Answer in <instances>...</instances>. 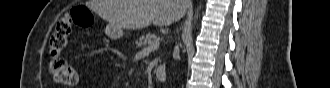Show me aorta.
Here are the masks:
<instances>
[{
    "label": "aorta",
    "instance_id": "762f6f07",
    "mask_svg": "<svg viewBox=\"0 0 330 88\" xmlns=\"http://www.w3.org/2000/svg\"><path fill=\"white\" fill-rule=\"evenodd\" d=\"M199 9H200V7H199ZM198 18V10H197V12L195 13V20ZM194 23H195V21H194Z\"/></svg>",
    "mask_w": 330,
    "mask_h": 88
}]
</instances>
